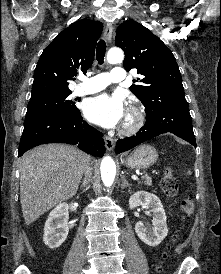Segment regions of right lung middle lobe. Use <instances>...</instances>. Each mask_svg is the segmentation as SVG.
I'll use <instances>...</instances> for the list:
<instances>
[{
  "label": "right lung middle lobe",
  "mask_w": 221,
  "mask_h": 274,
  "mask_svg": "<svg viewBox=\"0 0 221 274\" xmlns=\"http://www.w3.org/2000/svg\"><path fill=\"white\" fill-rule=\"evenodd\" d=\"M71 93L58 94L30 100L25 119L55 112H63L71 115L80 113L75 102L68 97Z\"/></svg>",
  "instance_id": "dd1d6c3e"
}]
</instances>
